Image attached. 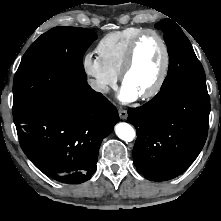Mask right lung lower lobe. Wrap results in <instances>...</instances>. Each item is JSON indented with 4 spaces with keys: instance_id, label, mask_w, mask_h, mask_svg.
Segmentation results:
<instances>
[{
    "instance_id": "98d812e1",
    "label": "right lung lower lobe",
    "mask_w": 221,
    "mask_h": 221,
    "mask_svg": "<svg viewBox=\"0 0 221 221\" xmlns=\"http://www.w3.org/2000/svg\"><path fill=\"white\" fill-rule=\"evenodd\" d=\"M13 119L30 161L45 175L75 184L95 172L100 144L119 115L110 101L86 83Z\"/></svg>"
}]
</instances>
